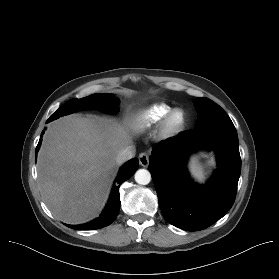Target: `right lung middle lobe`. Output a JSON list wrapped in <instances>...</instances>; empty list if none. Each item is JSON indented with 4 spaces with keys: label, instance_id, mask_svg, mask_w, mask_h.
<instances>
[{
    "label": "right lung middle lobe",
    "instance_id": "1",
    "mask_svg": "<svg viewBox=\"0 0 279 279\" xmlns=\"http://www.w3.org/2000/svg\"><path fill=\"white\" fill-rule=\"evenodd\" d=\"M118 105V100L113 99L108 94H93L88 97L82 99H71L66 102L63 106H61L55 113H53L49 119L47 120L52 121L60 116L70 114L74 111L79 109H86L90 107H99L102 109H107L110 112L115 111Z\"/></svg>",
    "mask_w": 279,
    "mask_h": 279
}]
</instances>
